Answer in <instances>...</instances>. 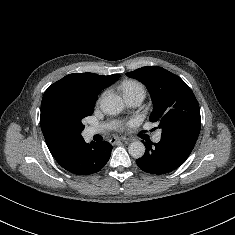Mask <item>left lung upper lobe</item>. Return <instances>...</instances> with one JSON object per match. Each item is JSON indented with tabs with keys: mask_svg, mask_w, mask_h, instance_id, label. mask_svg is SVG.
I'll list each match as a JSON object with an SVG mask.
<instances>
[{
	"mask_svg": "<svg viewBox=\"0 0 235 235\" xmlns=\"http://www.w3.org/2000/svg\"><path fill=\"white\" fill-rule=\"evenodd\" d=\"M142 82L153 102L149 120L159 122L162 137L197 141L201 127L200 109L192 90L177 75L157 66L126 73Z\"/></svg>",
	"mask_w": 235,
	"mask_h": 235,
	"instance_id": "5c2ea615",
	"label": "left lung upper lobe"
}]
</instances>
